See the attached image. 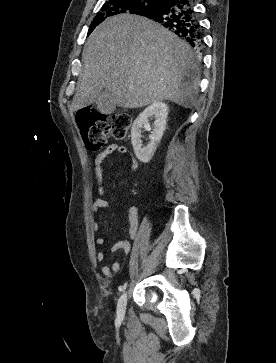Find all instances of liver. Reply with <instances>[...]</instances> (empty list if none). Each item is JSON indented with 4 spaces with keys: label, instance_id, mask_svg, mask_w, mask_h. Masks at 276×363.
Masks as SVG:
<instances>
[{
    "label": "liver",
    "instance_id": "liver-1",
    "mask_svg": "<svg viewBox=\"0 0 276 363\" xmlns=\"http://www.w3.org/2000/svg\"><path fill=\"white\" fill-rule=\"evenodd\" d=\"M82 57L73 111L96 102L103 89L117 106L130 109L164 100L189 108L197 97L196 52L145 17L108 18L88 37Z\"/></svg>",
    "mask_w": 276,
    "mask_h": 363
}]
</instances>
